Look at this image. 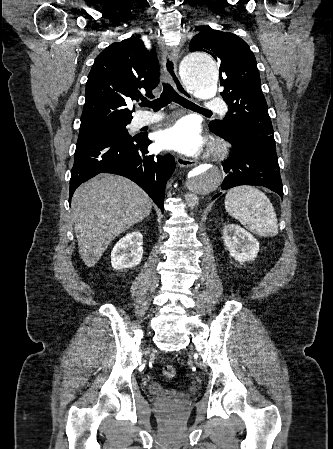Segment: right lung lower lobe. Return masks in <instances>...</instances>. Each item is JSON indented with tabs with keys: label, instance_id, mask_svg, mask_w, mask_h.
<instances>
[{
	"label": "right lung lower lobe",
	"instance_id": "right-lung-lower-lobe-1",
	"mask_svg": "<svg viewBox=\"0 0 333 449\" xmlns=\"http://www.w3.org/2000/svg\"><path fill=\"white\" fill-rule=\"evenodd\" d=\"M147 134L79 138L71 170L70 196L75 189L99 173H113L137 183L163 211L165 185L175 169L170 154H150Z\"/></svg>",
	"mask_w": 333,
	"mask_h": 449
}]
</instances>
